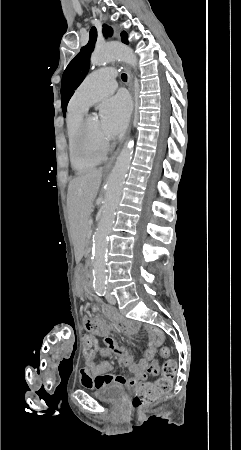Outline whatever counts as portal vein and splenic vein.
Wrapping results in <instances>:
<instances>
[{
    "label": "portal vein and splenic vein",
    "instance_id": "1",
    "mask_svg": "<svg viewBox=\"0 0 241 450\" xmlns=\"http://www.w3.org/2000/svg\"><path fill=\"white\" fill-rule=\"evenodd\" d=\"M89 234V236H92V228H89V231L87 232Z\"/></svg>",
    "mask_w": 241,
    "mask_h": 450
}]
</instances>
